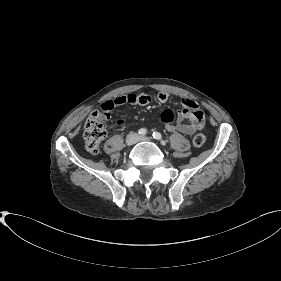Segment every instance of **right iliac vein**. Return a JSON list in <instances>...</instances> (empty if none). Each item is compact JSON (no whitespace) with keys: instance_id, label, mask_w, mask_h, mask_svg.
Here are the masks:
<instances>
[{"instance_id":"1","label":"right iliac vein","mask_w":281,"mask_h":281,"mask_svg":"<svg viewBox=\"0 0 281 281\" xmlns=\"http://www.w3.org/2000/svg\"><path fill=\"white\" fill-rule=\"evenodd\" d=\"M136 142H137V136L134 135V134H131L126 138V145L127 146H132Z\"/></svg>"}]
</instances>
